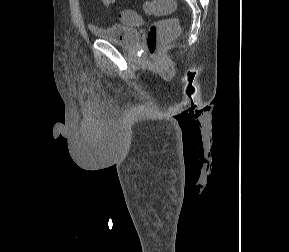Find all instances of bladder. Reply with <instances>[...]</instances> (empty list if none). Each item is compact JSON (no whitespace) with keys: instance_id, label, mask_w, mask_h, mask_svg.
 I'll return each instance as SVG.
<instances>
[{"instance_id":"bladder-1","label":"bladder","mask_w":289,"mask_h":252,"mask_svg":"<svg viewBox=\"0 0 289 252\" xmlns=\"http://www.w3.org/2000/svg\"><path fill=\"white\" fill-rule=\"evenodd\" d=\"M90 30L96 37L123 47L134 46L140 39L137 29L121 25L109 27L91 26Z\"/></svg>"}]
</instances>
